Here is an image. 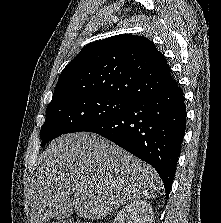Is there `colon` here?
<instances>
[{
	"label": "colon",
	"instance_id": "obj_1",
	"mask_svg": "<svg viewBox=\"0 0 221 223\" xmlns=\"http://www.w3.org/2000/svg\"><path fill=\"white\" fill-rule=\"evenodd\" d=\"M50 223H98L96 221L91 220H78V219H56L51 221Z\"/></svg>",
	"mask_w": 221,
	"mask_h": 223
}]
</instances>
